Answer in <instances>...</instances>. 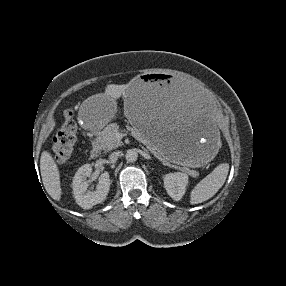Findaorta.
Masks as SVG:
<instances>
[{"instance_id":"1","label":"aorta","mask_w":286,"mask_h":286,"mask_svg":"<svg viewBox=\"0 0 286 286\" xmlns=\"http://www.w3.org/2000/svg\"><path fill=\"white\" fill-rule=\"evenodd\" d=\"M125 158L128 162H135L138 159V153L135 149L127 150Z\"/></svg>"}]
</instances>
